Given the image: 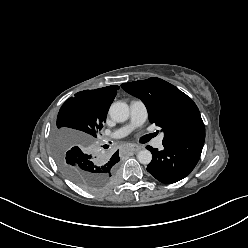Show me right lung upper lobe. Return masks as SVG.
I'll list each match as a JSON object with an SVG mask.
<instances>
[{"label": "right lung upper lobe", "mask_w": 248, "mask_h": 248, "mask_svg": "<svg viewBox=\"0 0 248 248\" xmlns=\"http://www.w3.org/2000/svg\"><path fill=\"white\" fill-rule=\"evenodd\" d=\"M119 89V86H107L103 88H99L96 90H85L79 92L84 98L86 105L89 109L100 112V113H106L108 112V109L114 100L117 90ZM119 157L117 153L113 155V158Z\"/></svg>", "instance_id": "cb5924a9"}]
</instances>
